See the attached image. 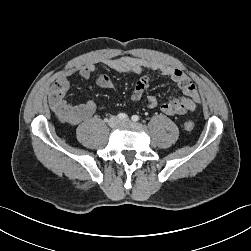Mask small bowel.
I'll return each mask as SVG.
<instances>
[{
  "instance_id": "c3829d8e",
  "label": "small bowel",
  "mask_w": 251,
  "mask_h": 251,
  "mask_svg": "<svg viewBox=\"0 0 251 251\" xmlns=\"http://www.w3.org/2000/svg\"><path fill=\"white\" fill-rule=\"evenodd\" d=\"M102 64L120 73L140 74L145 70H150L171 78L182 90L183 96L180 98L170 96L167 101L160 105L162 112L167 115H184L194 111L200 102L197 88L190 77L182 70L166 63L139 57L121 56L104 59ZM95 71L96 66L94 64H86L59 76L51 85L48 100L53 113L60 121L70 125H77L94 115L97 105L93 100L80 105H73L65 99V95L70 89L71 75L77 73L81 78L89 79ZM96 84L104 89H113L115 86L111 78L106 74L98 75ZM149 84V76H143L136 81L131 96L133 104L140 101ZM158 105L159 102L156 96L150 95L147 97L146 106L148 108L154 109Z\"/></svg>"
}]
</instances>
